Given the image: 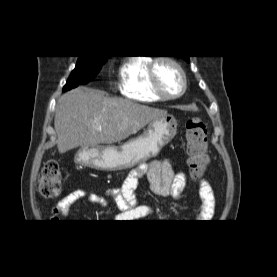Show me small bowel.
<instances>
[{
	"instance_id": "c3829d8e",
	"label": "small bowel",
	"mask_w": 277,
	"mask_h": 277,
	"mask_svg": "<svg viewBox=\"0 0 277 277\" xmlns=\"http://www.w3.org/2000/svg\"><path fill=\"white\" fill-rule=\"evenodd\" d=\"M147 176L151 190L158 196H170L180 200L186 186V176L183 172L176 173L170 160H154L148 164L136 167L125 179L120 189H110L104 194L89 192L83 189L74 190L65 195L52 209L50 220L58 222L69 215L72 205L86 200L92 204L106 208L111 199L121 211L118 220L133 222L153 213L150 206L139 204L135 190L139 179ZM199 206L196 219L208 220L213 216L215 208V194L206 180L199 181Z\"/></svg>"
}]
</instances>
